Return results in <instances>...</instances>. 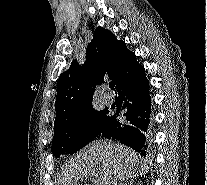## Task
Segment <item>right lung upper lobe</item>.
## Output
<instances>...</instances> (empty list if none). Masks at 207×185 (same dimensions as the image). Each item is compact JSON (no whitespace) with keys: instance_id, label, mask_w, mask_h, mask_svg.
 Segmentation results:
<instances>
[{"instance_id":"right-lung-upper-lobe-1","label":"right lung upper lobe","mask_w":207,"mask_h":185,"mask_svg":"<svg viewBox=\"0 0 207 185\" xmlns=\"http://www.w3.org/2000/svg\"><path fill=\"white\" fill-rule=\"evenodd\" d=\"M143 71L144 67L136 61L135 54L126 48L125 42L117 40L109 30L97 27L87 46L85 63L80 66L77 60H73L69 69L59 77L54 128L95 110L92 97L95 88L105 79H112L117 86Z\"/></svg>"}]
</instances>
